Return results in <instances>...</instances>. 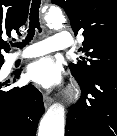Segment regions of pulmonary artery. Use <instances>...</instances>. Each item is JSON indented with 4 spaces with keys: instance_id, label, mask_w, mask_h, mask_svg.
Returning a JSON list of instances; mask_svg holds the SVG:
<instances>
[{
    "instance_id": "obj_1",
    "label": "pulmonary artery",
    "mask_w": 117,
    "mask_h": 136,
    "mask_svg": "<svg viewBox=\"0 0 117 136\" xmlns=\"http://www.w3.org/2000/svg\"><path fill=\"white\" fill-rule=\"evenodd\" d=\"M73 45V37L69 31H59L53 37L40 40L28 46L20 53L13 55V61L45 55L49 52L67 49Z\"/></svg>"
}]
</instances>
